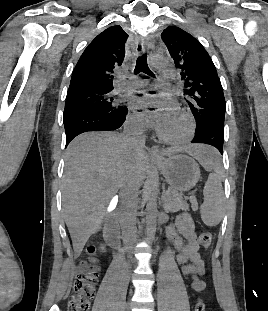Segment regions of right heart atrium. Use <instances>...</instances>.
I'll return each mask as SVG.
<instances>
[{
  "label": "right heart atrium",
  "mask_w": 268,
  "mask_h": 311,
  "mask_svg": "<svg viewBox=\"0 0 268 311\" xmlns=\"http://www.w3.org/2000/svg\"><path fill=\"white\" fill-rule=\"evenodd\" d=\"M128 126L132 130L143 132L148 127V121L141 116L131 115L128 120Z\"/></svg>",
  "instance_id": "1"
}]
</instances>
